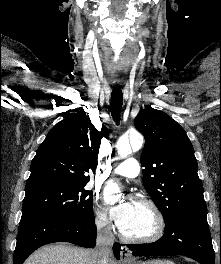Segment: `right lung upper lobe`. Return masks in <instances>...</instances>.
I'll return each mask as SVG.
<instances>
[{"label": "right lung upper lobe", "mask_w": 221, "mask_h": 264, "mask_svg": "<svg viewBox=\"0 0 221 264\" xmlns=\"http://www.w3.org/2000/svg\"><path fill=\"white\" fill-rule=\"evenodd\" d=\"M103 136H108V129L102 126L98 132L83 110L67 116L39 146L25 190L52 183L86 186L87 173L95 172Z\"/></svg>", "instance_id": "cb5924a9"}]
</instances>
